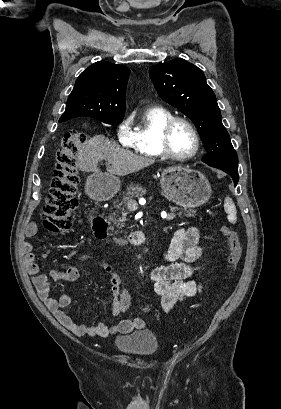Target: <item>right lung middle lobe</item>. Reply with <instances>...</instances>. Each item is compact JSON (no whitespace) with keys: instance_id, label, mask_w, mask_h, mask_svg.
I'll list each match as a JSON object with an SVG mask.
<instances>
[{"instance_id":"obj_1","label":"right lung middle lobe","mask_w":281,"mask_h":409,"mask_svg":"<svg viewBox=\"0 0 281 409\" xmlns=\"http://www.w3.org/2000/svg\"><path fill=\"white\" fill-rule=\"evenodd\" d=\"M122 119H123V118H118V119L101 118V119H98V120H99V121H102V122H104V123H107V124L117 125V124H119V123L122 122Z\"/></svg>"}]
</instances>
